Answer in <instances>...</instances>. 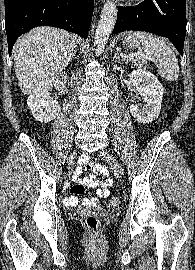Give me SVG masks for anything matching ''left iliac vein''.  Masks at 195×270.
I'll return each instance as SVG.
<instances>
[{
	"instance_id": "left-iliac-vein-1",
	"label": "left iliac vein",
	"mask_w": 195,
	"mask_h": 270,
	"mask_svg": "<svg viewBox=\"0 0 195 270\" xmlns=\"http://www.w3.org/2000/svg\"><path fill=\"white\" fill-rule=\"evenodd\" d=\"M100 154L110 164L111 168L114 170L115 175L117 177H121L123 175V169L117 159L107 150H102Z\"/></svg>"
}]
</instances>
